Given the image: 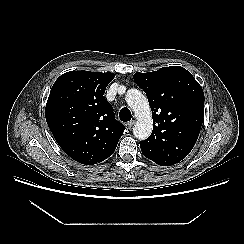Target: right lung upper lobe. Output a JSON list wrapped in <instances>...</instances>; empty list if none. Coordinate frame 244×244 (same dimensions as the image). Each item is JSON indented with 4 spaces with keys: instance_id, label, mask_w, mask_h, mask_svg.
Masks as SVG:
<instances>
[{
    "instance_id": "1",
    "label": "right lung upper lobe",
    "mask_w": 244,
    "mask_h": 244,
    "mask_svg": "<svg viewBox=\"0 0 244 244\" xmlns=\"http://www.w3.org/2000/svg\"><path fill=\"white\" fill-rule=\"evenodd\" d=\"M113 73L70 71L54 83L47 100V124L63 151L75 161L93 165L116 149L125 127L104 98Z\"/></svg>"
}]
</instances>
